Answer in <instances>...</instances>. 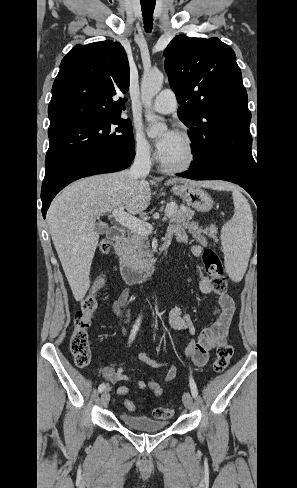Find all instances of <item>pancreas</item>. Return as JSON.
Here are the masks:
<instances>
[{
    "mask_svg": "<svg viewBox=\"0 0 297 488\" xmlns=\"http://www.w3.org/2000/svg\"><path fill=\"white\" fill-rule=\"evenodd\" d=\"M175 209L170 213L171 222L181 224L185 227L191 228L198 223H190L189 221L194 215V211L189 207H178L174 204ZM206 232L208 230H200ZM213 236V235H211ZM150 244L148 236L139 234L137 232L128 236L121 244L118 245L121 259L132 268H139L146 263L148 257L151 256Z\"/></svg>",
    "mask_w": 297,
    "mask_h": 488,
    "instance_id": "cf45deb5",
    "label": "pancreas"
}]
</instances>
